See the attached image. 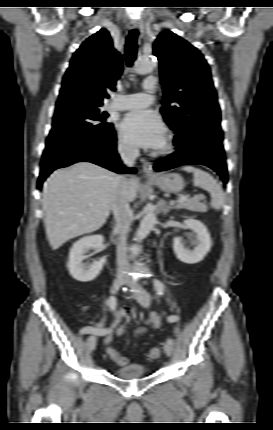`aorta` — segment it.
Wrapping results in <instances>:
<instances>
[{
    "label": "aorta",
    "mask_w": 273,
    "mask_h": 430,
    "mask_svg": "<svg viewBox=\"0 0 273 430\" xmlns=\"http://www.w3.org/2000/svg\"><path fill=\"white\" fill-rule=\"evenodd\" d=\"M156 67V61L154 58L150 56H143L137 60L135 71L140 75H146L153 72ZM157 218L155 211L151 204H148L146 207V213L143 219L141 220L140 226L135 234V240L141 241L153 230L156 224ZM133 255H137L138 247L137 245L132 246L130 249Z\"/></svg>",
    "instance_id": "762f6f07"
}]
</instances>
